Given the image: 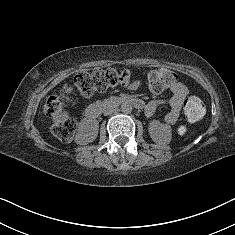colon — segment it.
<instances>
[{
	"label": "colon",
	"instance_id": "1",
	"mask_svg": "<svg viewBox=\"0 0 235 235\" xmlns=\"http://www.w3.org/2000/svg\"><path fill=\"white\" fill-rule=\"evenodd\" d=\"M130 74L126 70L95 69L78 73L73 82L64 86V93L91 97L115 86H126ZM176 82V75L169 69L158 68L148 74V87L153 93H161ZM184 115L190 122L198 121L204 114V105L197 97H189L183 106ZM44 112L53 120L52 133L60 140L68 142L73 138L76 121L63 109L60 99L51 96L47 99ZM184 129L182 128L181 131Z\"/></svg>",
	"mask_w": 235,
	"mask_h": 235
}]
</instances>
